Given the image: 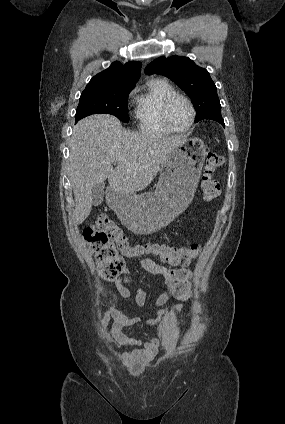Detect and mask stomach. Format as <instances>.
Segmentation results:
<instances>
[{
  "label": "stomach",
  "instance_id": "1",
  "mask_svg": "<svg viewBox=\"0 0 285 424\" xmlns=\"http://www.w3.org/2000/svg\"><path fill=\"white\" fill-rule=\"evenodd\" d=\"M206 154L207 147L201 140L187 139L161 165L154 192L140 195L112 192L109 206L135 233L149 234L162 229L191 203Z\"/></svg>",
  "mask_w": 285,
  "mask_h": 424
}]
</instances>
